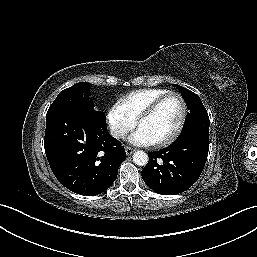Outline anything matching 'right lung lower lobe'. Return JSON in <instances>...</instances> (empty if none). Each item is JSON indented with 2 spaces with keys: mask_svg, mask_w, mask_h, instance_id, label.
Instances as JSON below:
<instances>
[{
  "mask_svg": "<svg viewBox=\"0 0 257 257\" xmlns=\"http://www.w3.org/2000/svg\"><path fill=\"white\" fill-rule=\"evenodd\" d=\"M44 148L59 182L83 195L109 188L126 159L124 147L109 135L106 123L77 108L47 113Z\"/></svg>",
  "mask_w": 257,
  "mask_h": 257,
  "instance_id": "right-lung-lower-lobe-1",
  "label": "right lung lower lobe"
}]
</instances>
